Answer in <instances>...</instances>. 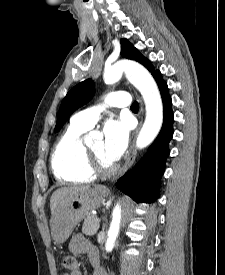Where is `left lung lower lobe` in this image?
Here are the masks:
<instances>
[{"mask_svg":"<svg viewBox=\"0 0 225 275\" xmlns=\"http://www.w3.org/2000/svg\"><path fill=\"white\" fill-rule=\"evenodd\" d=\"M153 77L158 84L163 101L164 121L161 131L146 155L116 183L121 191L135 201L148 203L158 198L159 182L169 155L168 145L173 136L174 120L167 84L162 79L160 71L157 70Z\"/></svg>","mask_w":225,"mask_h":275,"instance_id":"0a47b994","label":"left lung lower lobe"}]
</instances>
